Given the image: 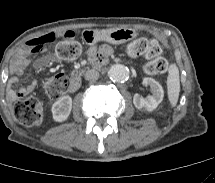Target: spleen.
<instances>
[{"label": "spleen", "mask_w": 215, "mask_h": 183, "mask_svg": "<svg viewBox=\"0 0 215 183\" xmlns=\"http://www.w3.org/2000/svg\"><path fill=\"white\" fill-rule=\"evenodd\" d=\"M167 93L170 104L176 106L180 93L179 70L176 64H171L167 78Z\"/></svg>", "instance_id": "obj_1"}]
</instances>
